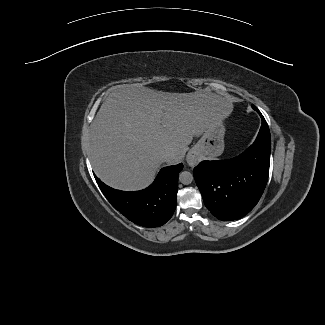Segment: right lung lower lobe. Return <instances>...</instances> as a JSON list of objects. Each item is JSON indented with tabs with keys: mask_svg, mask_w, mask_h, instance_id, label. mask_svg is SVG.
<instances>
[{
	"mask_svg": "<svg viewBox=\"0 0 325 325\" xmlns=\"http://www.w3.org/2000/svg\"><path fill=\"white\" fill-rule=\"evenodd\" d=\"M182 168V163L164 167L152 185L134 192L113 189L95 178L107 200L127 219L144 227H158L165 224L175 211L178 175Z\"/></svg>",
	"mask_w": 325,
	"mask_h": 325,
	"instance_id": "obj_1",
	"label": "right lung lower lobe"
}]
</instances>
